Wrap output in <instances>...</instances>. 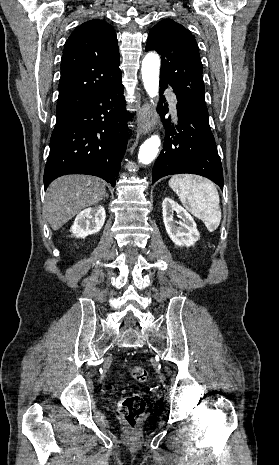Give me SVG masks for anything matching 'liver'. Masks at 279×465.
I'll return each instance as SVG.
<instances>
[{
  "instance_id": "6515ba94",
  "label": "liver",
  "mask_w": 279,
  "mask_h": 465,
  "mask_svg": "<svg viewBox=\"0 0 279 465\" xmlns=\"http://www.w3.org/2000/svg\"><path fill=\"white\" fill-rule=\"evenodd\" d=\"M105 183L89 175H66L48 187L44 211L53 230H58L86 207L105 197Z\"/></svg>"
}]
</instances>
